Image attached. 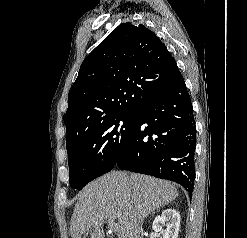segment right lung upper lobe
<instances>
[{
  "label": "right lung upper lobe",
  "mask_w": 247,
  "mask_h": 238,
  "mask_svg": "<svg viewBox=\"0 0 247 238\" xmlns=\"http://www.w3.org/2000/svg\"><path fill=\"white\" fill-rule=\"evenodd\" d=\"M165 44L144 25H119L83 61L65 114L67 145L87 129L136 113L179 74Z\"/></svg>",
  "instance_id": "cb5924a9"
}]
</instances>
